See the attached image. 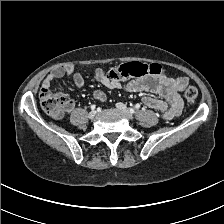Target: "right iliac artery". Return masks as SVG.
Returning a JSON list of instances; mask_svg holds the SVG:
<instances>
[{"instance_id":"right-iliac-artery-1","label":"right iliac artery","mask_w":224,"mask_h":224,"mask_svg":"<svg viewBox=\"0 0 224 224\" xmlns=\"http://www.w3.org/2000/svg\"><path fill=\"white\" fill-rule=\"evenodd\" d=\"M95 108H96V105H92V106H91V109H92V110H95Z\"/></svg>"}]
</instances>
